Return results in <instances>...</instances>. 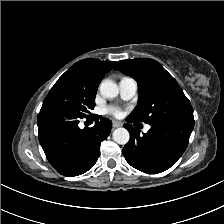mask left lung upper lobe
<instances>
[{
  "label": "left lung upper lobe",
  "mask_w": 224,
  "mask_h": 224,
  "mask_svg": "<svg viewBox=\"0 0 224 224\" xmlns=\"http://www.w3.org/2000/svg\"><path fill=\"white\" fill-rule=\"evenodd\" d=\"M115 70L133 77L138 84V105L129 119L147 124L175 119H193L192 106L176 80L149 58L117 62Z\"/></svg>",
  "instance_id": "left-lung-upper-lobe-1"
}]
</instances>
